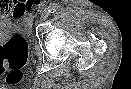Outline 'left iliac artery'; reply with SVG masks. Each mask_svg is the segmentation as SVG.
<instances>
[{"label":"left iliac artery","mask_w":131,"mask_h":89,"mask_svg":"<svg viewBox=\"0 0 131 89\" xmlns=\"http://www.w3.org/2000/svg\"><path fill=\"white\" fill-rule=\"evenodd\" d=\"M58 10V5L55 3H50V5L48 6V11L50 13H55Z\"/></svg>","instance_id":"left-iliac-artery-1"}]
</instances>
